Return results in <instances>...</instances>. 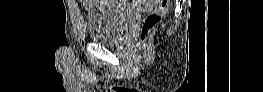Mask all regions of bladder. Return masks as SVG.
Listing matches in <instances>:
<instances>
[{"instance_id":"obj_1","label":"bladder","mask_w":263,"mask_h":92,"mask_svg":"<svg viewBox=\"0 0 263 92\" xmlns=\"http://www.w3.org/2000/svg\"><path fill=\"white\" fill-rule=\"evenodd\" d=\"M95 7L87 14L89 38L94 42L117 45L131 28L137 11L116 6L118 1H94Z\"/></svg>"}]
</instances>
